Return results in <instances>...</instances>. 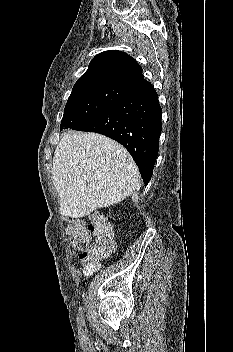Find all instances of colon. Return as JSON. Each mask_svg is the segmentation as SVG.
Wrapping results in <instances>:
<instances>
[{
    "mask_svg": "<svg viewBox=\"0 0 233 352\" xmlns=\"http://www.w3.org/2000/svg\"><path fill=\"white\" fill-rule=\"evenodd\" d=\"M72 246L78 251L84 264V272L90 275L99 267V261L106 258L115 249L108 226L98 217H93L88 225L73 222L68 226ZM95 241L90 244L92 236Z\"/></svg>",
    "mask_w": 233,
    "mask_h": 352,
    "instance_id": "colon-1",
    "label": "colon"
}]
</instances>
